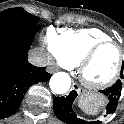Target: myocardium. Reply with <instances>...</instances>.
<instances>
[{"instance_id":"myocardium-1","label":"myocardium","mask_w":124,"mask_h":124,"mask_svg":"<svg viewBox=\"0 0 124 124\" xmlns=\"http://www.w3.org/2000/svg\"><path fill=\"white\" fill-rule=\"evenodd\" d=\"M106 46H115L119 52V60L116 70L111 78L101 83H93L86 79L85 70L90 61L96 56V54ZM124 69V49L117 42L113 40H106L95 44L80 60L78 63V77L81 83L88 89L94 91L105 90L114 85L120 78Z\"/></svg>"}]
</instances>
